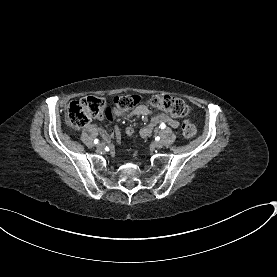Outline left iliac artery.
<instances>
[{
    "instance_id": "1",
    "label": "left iliac artery",
    "mask_w": 277,
    "mask_h": 277,
    "mask_svg": "<svg viewBox=\"0 0 277 277\" xmlns=\"http://www.w3.org/2000/svg\"><path fill=\"white\" fill-rule=\"evenodd\" d=\"M166 127L165 123H161L160 128L164 129Z\"/></svg>"
}]
</instances>
